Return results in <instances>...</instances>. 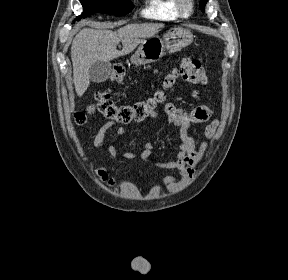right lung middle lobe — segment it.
Here are the masks:
<instances>
[{
    "label": "right lung middle lobe",
    "mask_w": 288,
    "mask_h": 280,
    "mask_svg": "<svg viewBox=\"0 0 288 280\" xmlns=\"http://www.w3.org/2000/svg\"><path fill=\"white\" fill-rule=\"evenodd\" d=\"M83 13L76 20L89 17L97 12L111 15H125L129 13L133 5L131 0H80Z\"/></svg>",
    "instance_id": "1"
}]
</instances>
